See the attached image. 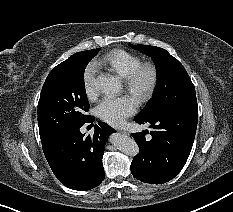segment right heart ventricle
<instances>
[{"label":"right heart ventricle","mask_w":233,"mask_h":212,"mask_svg":"<svg viewBox=\"0 0 233 212\" xmlns=\"http://www.w3.org/2000/svg\"><path fill=\"white\" fill-rule=\"evenodd\" d=\"M142 63V59L124 49H115L102 56L97 64L125 79Z\"/></svg>","instance_id":"obj_1"}]
</instances>
